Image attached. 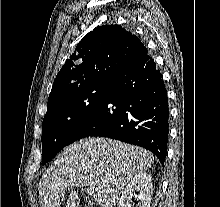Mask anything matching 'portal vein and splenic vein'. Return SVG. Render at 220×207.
Listing matches in <instances>:
<instances>
[{
    "label": "portal vein and splenic vein",
    "mask_w": 220,
    "mask_h": 207,
    "mask_svg": "<svg viewBox=\"0 0 220 207\" xmlns=\"http://www.w3.org/2000/svg\"><path fill=\"white\" fill-rule=\"evenodd\" d=\"M95 189L94 188H92V187H89L88 189H87V194L88 195H93L94 193H95Z\"/></svg>",
    "instance_id": "portal-vein-and-splenic-vein-1"
}]
</instances>
